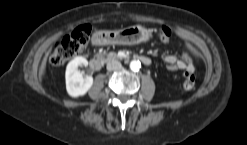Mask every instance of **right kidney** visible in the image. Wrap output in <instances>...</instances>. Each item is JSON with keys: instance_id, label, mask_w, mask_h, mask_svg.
<instances>
[{"instance_id": "obj_1", "label": "right kidney", "mask_w": 247, "mask_h": 145, "mask_svg": "<svg viewBox=\"0 0 247 145\" xmlns=\"http://www.w3.org/2000/svg\"><path fill=\"white\" fill-rule=\"evenodd\" d=\"M87 65L88 61L84 57H76L67 65L65 73L66 90L73 98L85 95L93 85V77L88 76L84 79L78 71L79 66Z\"/></svg>"}]
</instances>
